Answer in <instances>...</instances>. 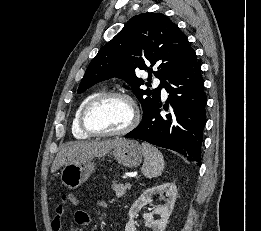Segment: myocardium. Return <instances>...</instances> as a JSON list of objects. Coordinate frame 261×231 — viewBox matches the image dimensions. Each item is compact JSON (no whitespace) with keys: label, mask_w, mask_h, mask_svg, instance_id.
Segmentation results:
<instances>
[{"label":"myocardium","mask_w":261,"mask_h":231,"mask_svg":"<svg viewBox=\"0 0 261 231\" xmlns=\"http://www.w3.org/2000/svg\"><path fill=\"white\" fill-rule=\"evenodd\" d=\"M122 98L125 99L129 102L132 108V119L130 123L128 124L127 127H125L122 130L119 131H110V132H101V131H96L93 129L89 122H88V114L89 112L98 104L101 102L110 99V98ZM140 120V111L138 108L137 103L133 99L131 95L125 92L121 91H108V92H102L98 94L96 97L91 99L82 109L81 115H80V126L82 130L91 135V136H96V137H112V136H124L128 133H130L132 130L136 128Z\"/></svg>","instance_id":"obj_1"}]
</instances>
